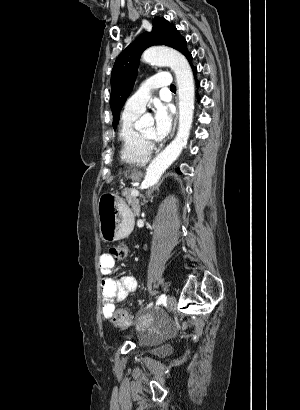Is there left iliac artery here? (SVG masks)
I'll list each match as a JSON object with an SVG mask.
<instances>
[{"label": "left iliac artery", "mask_w": 300, "mask_h": 410, "mask_svg": "<svg viewBox=\"0 0 300 410\" xmlns=\"http://www.w3.org/2000/svg\"><path fill=\"white\" fill-rule=\"evenodd\" d=\"M166 299H167L166 295H165V294H162V295L158 298V300H157V302H156V305H160V304L163 303Z\"/></svg>", "instance_id": "obj_1"}]
</instances>
